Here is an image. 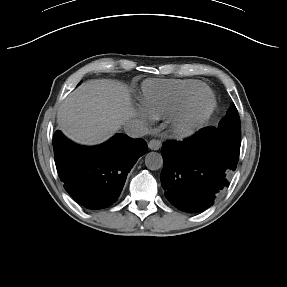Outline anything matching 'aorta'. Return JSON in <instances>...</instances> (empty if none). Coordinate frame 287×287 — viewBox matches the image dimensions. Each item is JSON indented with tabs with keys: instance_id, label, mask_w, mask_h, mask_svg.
Returning a JSON list of instances; mask_svg holds the SVG:
<instances>
[{
	"instance_id": "aorta-1",
	"label": "aorta",
	"mask_w": 287,
	"mask_h": 287,
	"mask_svg": "<svg viewBox=\"0 0 287 287\" xmlns=\"http://www.w3.org/2000/svg\"><path fill=\"white\" fill-rule=\"evenodd\" d=\"M145 165L150 170H159L163 166L162 155L158 152H149L145 157Z\"/></svg>"
}]
</instances>
